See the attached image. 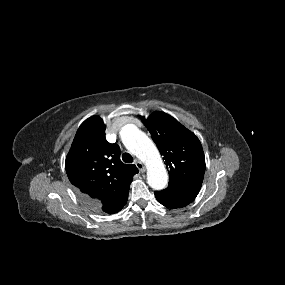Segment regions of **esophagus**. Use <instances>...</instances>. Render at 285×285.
<instances>
[{
  "label": "esophagus",
  "mask_w": 285,
  "mask_h": 285,
  "mask_svg": "<svg viewBox=\"0 0 285 285\" xmlns=\"http://www.w3.org/2000/svg\"><path fill=\"white\" fill-rule=\"evenodd\" d=\"M135 165H136V167L138 168V170L140 172L144 173L146 171V168H145L144 164L141 161L136 160L135 161Z\"/></svg>",
  "instance_id": "esophagus-1"
}]
</instances>
